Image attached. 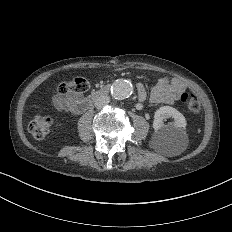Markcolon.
I'll use <instances>...</instances> for the list:
<instances>
[{"instance_id": "colon-1", "label": "colon", "mask_w": 232, "mask_h": 232, "mask_svg": "<svg viewBox=\"0 0 232 232\" xmlns=\"http://www.w3.org/2000/svg\"><path fill=\"white\" fill-rule=\"evenodd\" d=\"M93 88L94 85L90 84L88 79L78 75H73L69 83L61 80L57 84V89L61 93H66L69 89L71 93H79ZM197 101L198 96L190 90H185L181 94L180 102H184L183 111H196V107L199 106ZM49 125H53L49 112H38V116H29V126H26V131H32L33 137H46Z\"/></svg>"}]
</instances>
